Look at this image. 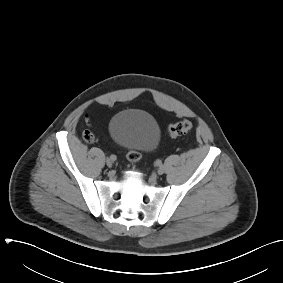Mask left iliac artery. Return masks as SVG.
I'll list each match as a JSON object with an SVG mask.
<instances>
[{"label":"left iliac artery","instance_id":"1","mask_svg":"<svg viewBox=\"0 0 283 283\" xmlns=\"http://www.w3.org/2000/svg\"><path fill=\"white\" fill-rule=\"evenodd\" d=\"M156 165H157V166H161V165H162V161H161V160H157V161H156Z\"/></svg>","mask_w":283,"mask_h":283}]
</instances>
